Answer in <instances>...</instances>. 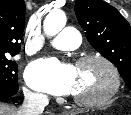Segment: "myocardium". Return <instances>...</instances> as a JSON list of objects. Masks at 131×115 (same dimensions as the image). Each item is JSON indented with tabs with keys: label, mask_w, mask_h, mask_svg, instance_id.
Instances as JSON below:
<instances>
[{
	"label": "myocardium",
	"mask_w": 131,
	"mask_h": 115,
	"mask_svg": "<svg viewBox=\"0 0 131 115\" xmlns=\"http://www.w3.org/2000/svg\"><path fill=\"white\" fill-rule=\"evenodd\" d=\"M91 61H99L108 68L112 76V85L105 94L95 97V98L86 99V98H80L76 96L72 97V100L76 104L80 106H84V107L101 106L107 103L119 92L120 87H121V77H120L118 68L110 59H108L107 57L101 54L84 55L76 61V66H79Z\"/></svg>",
	"instance_id": "1"
}]
</instances>
